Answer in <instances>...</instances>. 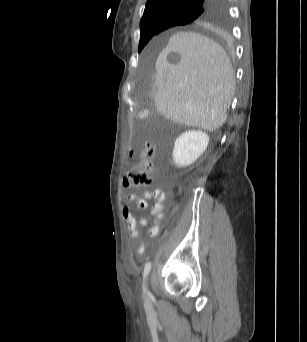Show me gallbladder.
Masks as SVG:
<instances>
[{
  "mask_svg": "<svg viewBox=\"0 0 307 342\" xmlns=\"http://www.w3.org/2000/svg\"><path fill=\"white\" fill-rule=\"evenodd\" d=\"M139 113L140 114H147L148 113V108L147 107H140L139 108Z\"/></svg>",
  "mask_w": 307,
  "mask_h": 342,
  "instance_id": "obj_1",
  "label": "gallbladder"
}]
</instances>
